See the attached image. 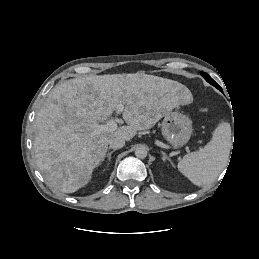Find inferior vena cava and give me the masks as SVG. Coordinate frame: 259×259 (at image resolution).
<instances>
[{"label": "inferior vena cava", "mask_w": 259, "mask_h": 259, "mask_svg": "<svg viewBox=\"0 0 259 259\" xmlns=\"http://www.w3.org/2000/svg\"><path fill=\"white\" fill-rule=\"evenodd\" d=\"M125 145V140L121 138H113L109 141V147L116 150L120 149Z\"/></svg>", "instance_id": "1"}]
</instances>
